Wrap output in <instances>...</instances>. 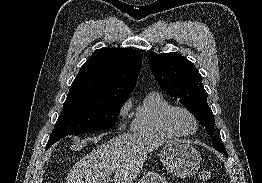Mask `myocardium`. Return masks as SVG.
<instances>
[{
  "instance_id": "obj_1",
  "label": "myocardium",
  "mask_w": 262,
  "mask_h": 183,
  "mask_svg": "<svg viewBox=\"0 0 262 183\" xmlns=\"http://www.w3.org/2000/svg\"><path fill=\"white\" fill-rule=\"evenodd\" d=\"M178 112H184L187 113L193 120L195 123V129L193 130V132L187 133V132H183L178 125L175 122V116ZM166 124L168 126V128L173 131L175 134L182 136V137H190L195 135L198 130H199V120L197 118V116L188 108L183 107V106H173L168 113L166 114Z\"/></svg>"
}]
</instances>
